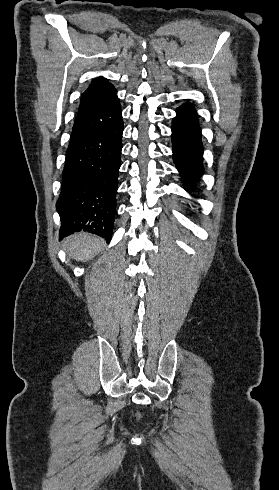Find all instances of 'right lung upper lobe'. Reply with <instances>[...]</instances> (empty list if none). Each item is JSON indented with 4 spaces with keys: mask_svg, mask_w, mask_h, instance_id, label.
Segmentation results:
<instances>
[{
    "mask_svg": "<svg viewBox=\"0 0 279 490\" xmlns=\"http://www.w3.org/2000/svg\"><path fill=\"white\" fill-rule=\"evenodd\" d=\"M122 120L117 91L105 78L94 79L82 94L70 143L97 135Z\"/></svg>",
    "mask_w": 279,
    "mask_h": 490,
    "instance_id": "cb5924a9",
    "label": "right lung upper lobe"
}]
</instances>
